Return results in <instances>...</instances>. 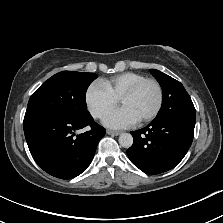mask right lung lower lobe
Returning a JSON list of instances; mask_svg holds the SVG:
<instances>
[{
    "label": "right lung lower lobe",
    "mask_w": 223,
    "mask_h": 223,
    "mask_svg": "<svg viewBox=\"0 0 223 223\" xmlns=\"http://www.w3.org/2000/svg\"><path fill=\"white\" fill-rule=\"evenodd\" d=\"M91 130L75 137V131ZM24 134L36 163L48 174L71 179L91 163L105 129L93 118L45 117L24 122Z\"/></svg>",
    "instance_id": "obj_1"
}]
</instances>
